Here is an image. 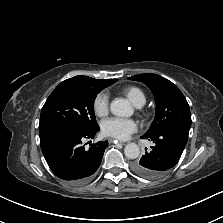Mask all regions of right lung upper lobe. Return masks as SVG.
Here are the masks:
<instances>
[{
    "instance_id": "right-lung-upper-lobe-1",
    "label": "right lung upper lobe",
    "mask_w": 223,
    "mask_h": 223,
    "mask_svg": "<svg viewBox=\"0 0 223 223\" xmlns=\"http://www.w3.org/2000/svg\"><path fill=\"white\" fill-rule=\"evenodd\" d=\"M114 79H107V80H97L88 76H75L73 78L67 79L65 80V82H85V83H110L112 82Z\"/></svg>"
}]
</instances>
